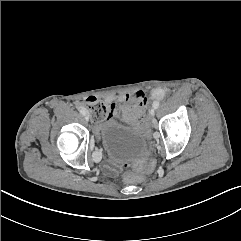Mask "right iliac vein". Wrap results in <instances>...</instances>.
<instances>
[{"instance_id":"63e3f726","label":"right iliac vein","mask_w":241,"mask_h":241,"mask_svg":"<svg viewBox=\"0 0 241 241\" xmlns=\"http://www.w3.org/2000/svg\"><path fill=\"white\" fill-rule=\"evenodd\" d=\"M85 119H86L87 121H89V119H90V118H89V115L85 114ZM94 156H95V157H98L99 154H98L97 152H95V153H94Z\"/></svg>"}]
</instances>
